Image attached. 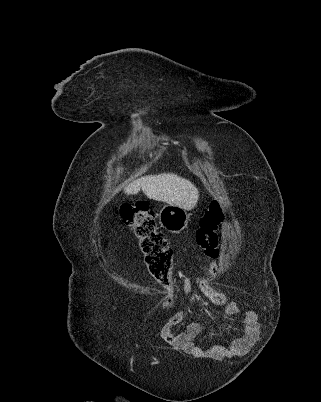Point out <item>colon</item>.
Here are the masks:
<instances>
[{
    "label": "colon",
    "instance_id": "5ec220e1",
    "mask_svg": "<svg viewBox=\"0 0 321 402\" xmlns=\"http://www.w3.org/2000/svg\"><path fill=\"white\" fill-rule=\"evenodd\" d=\"M119 217L137 238L144 262L151 275L159 282L160 288L164 292H171L173 252L167 238L157 226L153 210L143 202L126 204L120 208ZM223 219L224 213L220 204L213 202L200 217L196 231L197 245L210 261L208 269L210 276L217 270L220 254L217 230ZM196 280L199 282L197 289L199 294L207 295L215 305L225 303V295L213 289L204 275H197ZM171 304L172 297L168 295L163 301V306L169 307Z\"/></svg>",
    "mask_w": 321,
    "mask_h": 402
}]
</instances>
